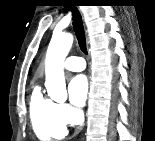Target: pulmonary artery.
<instances>
[{"mask_svg": "<svg viewBox=\"0 0 155 141\" xmlns=\"http://www.w3.org/2000/svg\"><path fill=\"white\" fill-rule=\"evenodd\" d=\"M64 66L71 71H82L85 69V61L82 57L70 56L66 59Z\"/></svg>", "mask_w": 155, "mask_h": 141, "instance_id": "e3ab8cb5", "label": "pulmonary artery"}]
</instances>
